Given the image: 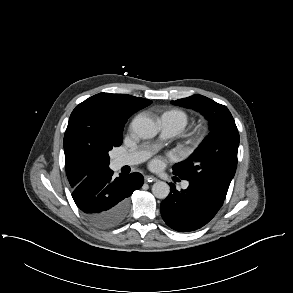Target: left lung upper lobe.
I'll return each mask as SVG.
<instances>
[{
    "label": "left lung upper lobe",
    "instance_id": "1",
    "mask_svg": "<svg viewBox=\"0 0 293 293\" xmlns=\"http://www.w3.org/2000/svg\"><path fill=\"white\" fill-rule=\"evenodd\" d=\"M171 103L200 112L211 122L212 129L186 160L172 167L173 174L227 192L236 171L239 146L238 129L230 111L198 94Z\"/></svg>",
    "mask_w": 293,
    "mask_h": 293
}]
</instances>
